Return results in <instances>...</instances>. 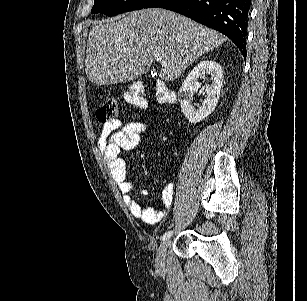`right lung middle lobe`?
I'll use <instances>...</instances> for the list:
<instances>
[{
  "instance_id": "1",
  "label": "right lung middle lobe",
  "mask_w": 307,
  "mask_h": 301,
  "mask_svg": "<svg viewBox=\"0 0 307 301\" xmlns=\"http://www.w3.org/2000/svg\"><path fill=\"white\" fill-rule=\"evenodd\" d=\"M152 0H94L91 13H103L115 16L127 11L144 8Z\"/></svg>"
}]
</instances>
